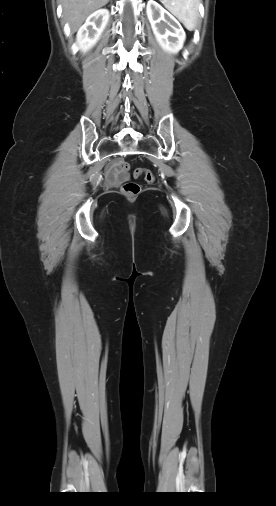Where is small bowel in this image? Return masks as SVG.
Listing matches in <instances>:
<instances>
[{"label":"small bowel","instance_id":"1","mask_svg":"<svg viewBox=\"0 0 276 506\" xmlns=\"http://www.w3.org/2000/svg\"><path fill=\"white\" fill-rule=\"evenodd\" d=\"M116 163L111 164L106 171V182L109 185H116L127 179V174L121 173L116 167Z\"/></svg>","mask_w":276,"mask_h":506}]
</instances>
